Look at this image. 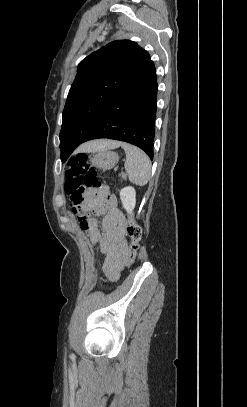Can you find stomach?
<instances>
[{
	"instance_id": "stomach-1",
	"label": "stomach",
	"mask_w": 247,
	"mask_h": 407,
	"mask_svg": "<svg viewBox=\"0 0 247 407\" xmlns=\"http://www.w3.org/2000/svg\"><path fill=\"white\" fill-rule=\"evenodd\" d=\"M90 161L100 170H110L118 163L119 155L111 150H102L95 153Z\"/></svg>"
}]
</instances>
